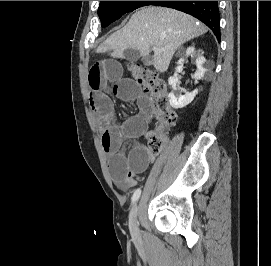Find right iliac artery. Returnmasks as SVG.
Masks as SVG:
<instances>
[{"mask_svg":"<svg viewBox=\"0 0 271 266\" xmlns=\"http://www.w3.org/2000/svg\"><path fill=\"white\" fill-rule=\"evenodd\" d=\"M140 195H141V189L138 188L137 190H135L132 196V203H135L139 199Z\"/></svg>","mask_w":271,"mask_h":266,"instance_id":"obj_1","label":"right iliac artery"}]
</instances>
